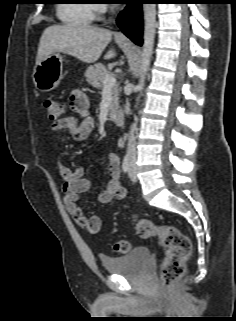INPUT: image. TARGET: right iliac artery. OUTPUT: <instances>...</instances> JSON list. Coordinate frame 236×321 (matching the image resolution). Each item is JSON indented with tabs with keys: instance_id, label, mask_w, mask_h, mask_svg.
Segmentation results:
<instances>
[{
	"instance_id": "obj_1",
	"label": "right iliac artery",
	"mask_w": 236,
	"mask_h": 321,
	"mask_svg": "<svg viewBox=\"0 0 236 321\" xmlns=\"http://www.w3.org/2000/svg\"><path fill=\"white\" fill-rule=\"evenodd\" d=\"M122 169L124 173H127L130 169V157L129 155H125L122 162Z\"/></svg>"
}]
</instances>
